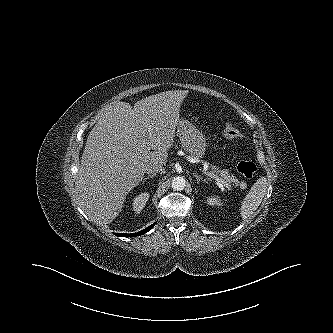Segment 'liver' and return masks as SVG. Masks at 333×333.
<instances>
[{
    "label": "liver",
    "instance_id": "1",
    "mask_svg": "<svg viewBox=\"0 0 333 333\" xmlns=\"http://www.w3.org/2000/svg\"><path fill=\"white\" fill-rule=\"evenodd\" d=\"M187 94L161 92L137 101L133 108L116 103L93 127L75 182V198L91 221L111 223L147 168L166 164Z\"/></svg>",
    "mask_w": 333,
    "mask_h": 333
}]
</instances>
